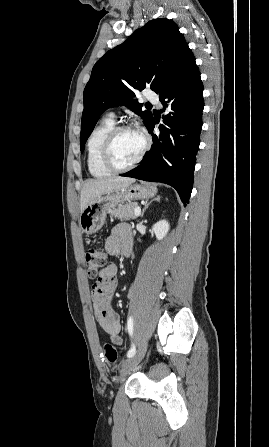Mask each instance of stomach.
I'll return each mask as SVG.
<instances>
[{"label": "stomach", "instance_id": "obj_1", "mask_svg": "<svg viewBox=\"0 0 269 447\" xmlns=\"http://www.w3.org/2000/svg\"><path fill=\"white\" fill-rule=\"evenodd\" d=\"M156 192L155 186L142 182V184H133V186L97 196L83 210L79 218V225L84 233H95L104 224L109 208H117V206L132 202V200H148Z\"/></svg>", "mask_w": 269, "mask_h": 447}]
</instances>
